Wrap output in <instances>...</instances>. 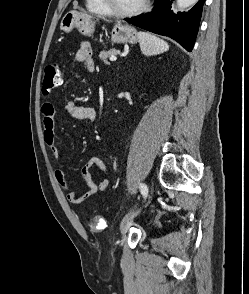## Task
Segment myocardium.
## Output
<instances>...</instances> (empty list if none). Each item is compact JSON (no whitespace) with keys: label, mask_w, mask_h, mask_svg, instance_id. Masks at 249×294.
<instances>
[{"label":"myocardium","mask_w":249,"mask_h":294,"mask_svg":"<svg viewBox=\"0 0 249 294\" xmlns=\"http://www.w3.org/2000/svg\"><path fill=\"white\" fill-rule=\"evenodd\" d=\"M149 1L150 0H143L142 3L138 7L134 8L132 10H128V11H121V10L116 9L112 5L110 0H101V3L106 8L108 15L119 17V18H126V17L136 16V15H139L142 12H144L149 5Z\"/></svg>","instance_id":"myocardium-1"}]
</instances>
